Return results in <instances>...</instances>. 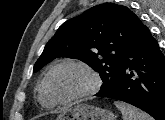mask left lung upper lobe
Instances as JSON below:
<instances>
[{
  "label": "left lung upper lobe",
  "instance_id": "5c2ea615",
  "mask_svg": "<svg viewBox=\"0 0 165 120\" xmlns=\"http://www.w3.org/2000/svg\"><path fill=\"white\" fill-rule=\"evenodd\" d=\"M145 29L126 6H94L58 28L33 71L58 57L79 59L99 72L103 84L97 96H104L119 85L124 56Z\"/></svg>",
  "mask_w": 165,
  "mask_h": 120
}]
</instances>
